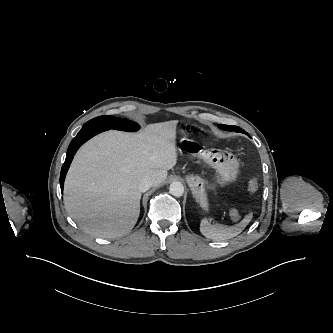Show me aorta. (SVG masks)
Wrapping results in <instances>:
<instances>
[{
  "label": "aorta",
  "mask_w": 333,
  "mask_h": 333,
  "mask_svg": "<svg viewBox=\"0 0 333 333\" xmlns=\"http://www.w3.org/2000/svg\"><path fill=\"white\" fill-rule=\"evenodd\" d=\"M170 193L175 197H180L184 194V186L181 182H172L170 184Z\"/></svg>",
  "instance_id": "obj_1"
}]
</instances>
